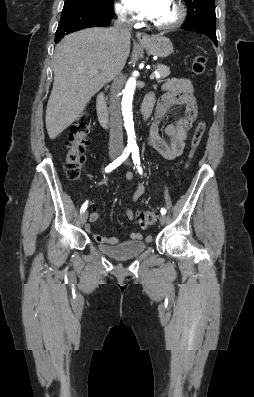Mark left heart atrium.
<instances>
[{"label":"left heart atrium","instance_id":"obj_1","mask_svg":"<svg viewBox=\"0 0 254 397\" xmlns=\"http://www.w3.org/2000/svg\"><path fill=\"white\" fill-rule=\"evenodd\" d=\"M134 11L152 19L160 10L164 0H125Z\"/></svg>","mask_w":254,"mask_h":397}]
</instances>
